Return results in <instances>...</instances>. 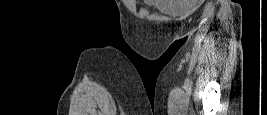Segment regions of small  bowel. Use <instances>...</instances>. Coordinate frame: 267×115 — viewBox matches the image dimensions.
I'll return each instance as SVG.
<instances>
[{"instance_id":"obj_1","label":"small bowel","mask_w":267,"mask_h":115,"mask_svg":"<svg viewBox=\"0 0 267 115\" xmlns=\"http://www.w3.org/2000/svg\"><path fill=\"white\" fill-rule=\"evenodd\" d=\"M147 3L161 12L178 14L190 12L198 6L196 0H147Z\"/></svg>"}]
</instances>
